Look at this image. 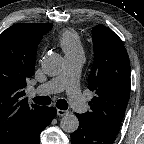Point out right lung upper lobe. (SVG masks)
Returning <instances> with one entry per match:
<instances>
[{
  "mask_svg": "<svg viewBox=\"0 0 144 144\" xmlns=\"http://www.w3.org/2000/svg\"><path fill=\"white\" fill-rule=\"evenodd\" d=\"M52 24L20 23L0 34V144H14L43 108L28 105L24 87L33 74L38 43Z\"/></svg>",
  "mask_w": 144,
  "mask_h": 144,
  "instance_id": "obj_1",
  "label": "right lung upper lobe"
}]
</instances>
